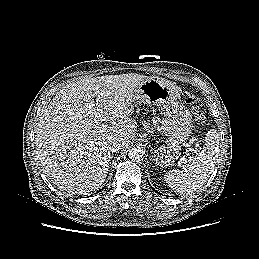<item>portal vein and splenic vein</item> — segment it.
I'll list each match as a JSON object with an SVG mask.
<instances>
[{"mask_svg":"<svg viewBox=\"0 0 259 259\" xmlns=\"http://www.w3.org/2000/svg\"><path fill=\"white\" fill-rule=\"evenodd\" d=\"M103 128H106V125L102 124L101 125ZM187 146H189V144H187ZM196 147H198V145H196Z\"/></svg>","mask_w":259,"mask_h":259,"instance_id":"portal-vein-and-splenic-vein-1","label":"portal vein and splenic vein"}]
</instances>
